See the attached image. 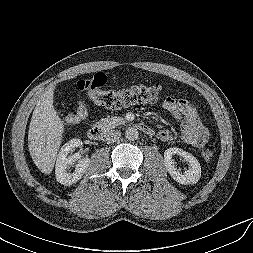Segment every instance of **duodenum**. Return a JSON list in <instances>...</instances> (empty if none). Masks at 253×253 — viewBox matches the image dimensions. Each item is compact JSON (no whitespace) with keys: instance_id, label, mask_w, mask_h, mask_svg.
I'll use <instances>...</instances> for the list:
<instances>
[{"instance_id":"410a0bca","label":"duodenum","mask_w":253,"mask_h":253,"mask_svg":"<svg viewBox=\"0 0 253 253\" xmlns=\"http://www.w3.org/2000/svg\"><path fill=\"white\" fill-rule=\"evenodd\" d=\"M137 128L147 135H152V128L146 123H137ZM104 135V129L100 125H92L88 130V136L92 140H100Z\"/></svg>"}]
</instances>
